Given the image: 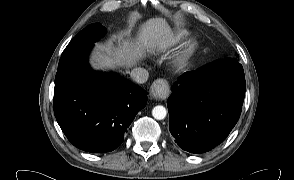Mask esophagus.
Wrapping results in <instances>:
<instances>
[{
    "label": "esophagus",
    "mask_w": 294,
    "mask_h": 180,
    "mask_svg": "<svg viewBox=\"0 0 294 180\" xmlns=\"http://www.w3.org/2000/svg\"><path fill=\"white\" fill-rule=\"evenodd\" d=\"M170 89L166 79L156 80L150 88V96L156 100H164L169 95Z\"/></svg>",
    "instance_id": "34e87169"
}]
</instances>
